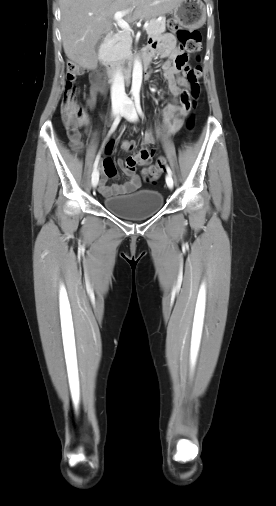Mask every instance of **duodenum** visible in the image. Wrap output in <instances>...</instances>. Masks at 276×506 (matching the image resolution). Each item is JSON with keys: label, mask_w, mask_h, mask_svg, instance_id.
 <instances>
[{"label": "duodenum", "mask_w": 276, "mask_h": 506, "mask_svg": "<svg viewBox=\"0 0 276 506\" xmlns=\"http://www.w3.org/2000/svg\"><path fill=\"white\" fill-rule=\"evenodd\" d=\"M112 37H113V33H111V32L107 33L103 39V44L107 45L111 41ZM140 61L144 64V66H148L149 56L143 52L140 57ZM106 67L108 69V73H109L110 77L116 78L117 76H121L122 78L127 79L130 76L132 64L119 63L117 61H112V62H107Z\"/></svg>", "instance_id": "duodenum-1"}]
</instances>
